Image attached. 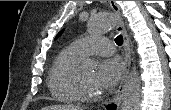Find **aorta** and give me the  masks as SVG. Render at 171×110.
<instances>
[{
    "instance_id": "1",
    "label": "aorta",
    "mask_w": 171,
    "mask_h": 110,
    "mask_svg": "<svg viewBox=\"0 0 171 110\" xmlns=\"http://www.w3.org/2000/svg\"><path fill=\"white\" fill-rule=\"evenodd\" d=\"M117 23L116 17L111 13L99 14L92 17L88 22V29L92 34H102L112 30ZM89 69L95 68L93 60H86ZM141 101V80L139 72L134 66L125 83L122 110H139Z\"/></svg>"
}]
</instances>
